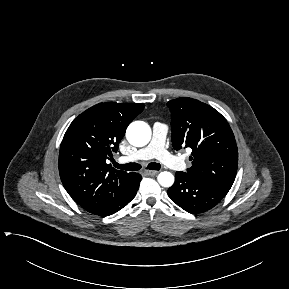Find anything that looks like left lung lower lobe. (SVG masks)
Returning a JSON list of instances; mask_svg holds the SVG:
<instances>
[{"instance_id":"0a47b994","label":"left lung lower lobe","mask_w":289,"mask_h":289,"mask_svg":"<svg viewBox=\"0 0 289 289\" xmlns=\"http://www.w3.org/2000/svg\"><path fill=\"white\" fill-rule=\"evenodd\" d=\"M228 191L227 188L191 174L177 172L174 184L168 189V196L185 211L199 214L215 207Z\"/></svg>"}]
</instances>
